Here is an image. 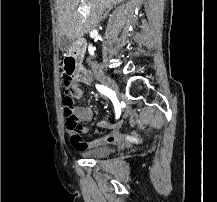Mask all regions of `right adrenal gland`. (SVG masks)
<instances>
[{"instance_id": "2a0ac1e0", "label": "right adrenal gland", "mask_w": 217, "mask_h": 202, "mask_svg": "<svg viewBox=\"0 0 217 202\" xmlns=\"http://www.w3.org/2000/svg\"><path fill=\"white\" fill-rule=\"evenodd\" d=\"M108 10H109L108 6H105V8H103V10H101L99 20H103V18H105L106 14H108Z\"/></svg>"}]
</instances>
